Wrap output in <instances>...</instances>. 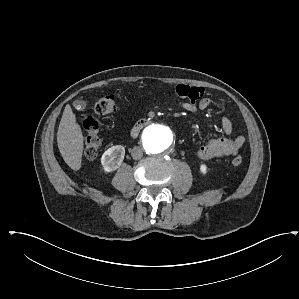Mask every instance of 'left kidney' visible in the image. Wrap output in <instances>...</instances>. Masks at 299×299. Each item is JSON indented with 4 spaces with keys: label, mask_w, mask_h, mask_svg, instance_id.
<instances>
[{
    "label": "left kidney",
    "mask_w": 299,
    "mask_h": 299,
    "mask_svg": "<svg viewBox=\"0 0 299 299\" xmlns=\"http://www.w3.org/2000/svg\"><path fill=\"white\" fill-rule=\"evenodd\" d=\"M200 172L202 174H206L207 173V166L205 164H201L200 165Z\"/></svg>",
    "instance_id": "5707ae66"
}]
</instances>
